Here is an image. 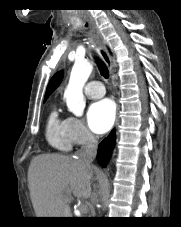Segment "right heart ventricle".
<instances>
[{
	"instance_id": "right-heart-ventricle-1",
	"label": "right heart ventricle",
	"mask_w": 181,
	"mask_h": 227,
	"mask_svg": "<svg viewBox=\"0 0 181 227\" xmlns=\"http://www.w3.org/2000/svg\"><path fill=\"white\" fill-rule=\"evenodd\" d=\"M67 119L60 116L56 107H54L47 118L46 139L55 149L68 152L71 150L72 142L66 131Z\"/></svg>"
}]
</instances>
